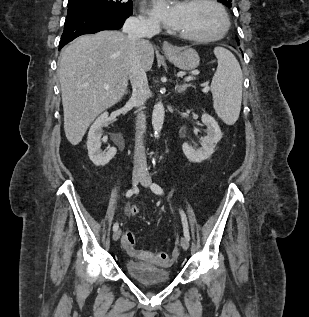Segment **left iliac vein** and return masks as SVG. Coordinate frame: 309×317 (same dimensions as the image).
I'll use <instances>...</instances> for the list:
<instances>
[{
	"label": "left iliac vein",
	"instance_id": "1",
	"mask_svg": "<svg viewBox=\"0 0 309 317\" xmlns=\"http://www.w3.org/2000/svg\"><path fill=\"white\" fill-rule=\"evenodd\" d=\"M141 183L145 187H148L151 184V178L147 173L144 174ZM180 244L184 250H187L189 248V241L186 237H181Z\"/></svg>",
	"mask_w": 309,
	"mask_h": 317
}]
</instances>
